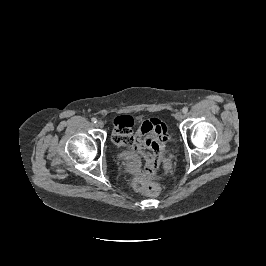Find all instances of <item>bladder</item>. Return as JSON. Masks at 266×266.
I'll use <instances>...</instances> for the list:
<instances>
[{
	"label": "bladder",
	"instance_id": "bladder-1",
	"mask_svg": "<svg viewBox=\"0 0 266 266\" xmlns=\"http://www.w3.org/2000/svg\"><path fill=\"white\" fill-rule=\"evenodd\" d=\"M124 155L127 159H133L136 157L137 154L132 151H127L124 153Z\"/></svg>",
	"mask_w": 266,
	"mask_h": 266
}]
</instances>
